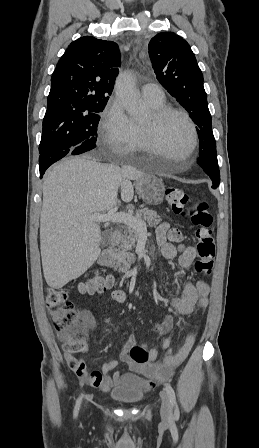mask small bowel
Returning a JSON list of instances; mask_svg holds the SVG:
<instances>
[{
	"instance_id": "obj_1",
	"label": "small bowel",
	"mask_w": 259,
	"mask_h": 448,
	"mask_svg": "<svg viewBox=\"0 0 259 448\" xmlns=\"http://www.w3.org/2000/svg\"><path fill=\"white\" fill-rule=\"evenodd\" d=\"M169 224L162 223L156 229V242L161 254L165 259L171 260L178 256V247L175 243L168 241ZM196 258L195 247L188 245L179 254V265L188 269ZM176 296L170 300L172 308L179 314H191L196 308L202 310L208 306V295L210 286L206 279L198 277L196 282H186L182 286L175 285ZM112 298L119 303H124L127 296L122 291H115ZM174 321L170 314H167L162 323L155 325L154 331L159 335L167 334L173 327ZM196 340V332L190 331L182 346L175 350L172 348V338L167 337L163 343L165 354L158 361V350L150 348L149 359L144 364H138L131 360L130 349L136 345L133 336L129 337L120 352V360L126 363L132 372L115 371L117 360L112 359L105 362L100 370L90 372L84 361L74 357L69 352L66 353V360L70 369L83 382L90 386L110 391L114 387L137 388L140 390H150L156 382L166 381L190 353Z\"/></svg>"
}]
</instances>
